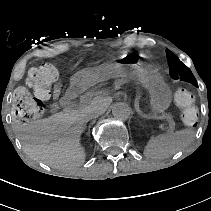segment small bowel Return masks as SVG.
I'll use <instances>...</instances> for the list:
<instances>
[{
    "instance_id": "small-bowel-1",
    "label": "small bowel",
    "mask_w": 211,
    "mask_h": 211,
    "mask_svg": "<svg viewBox=\"0 0 211 211\" xmlns=\"http://www.w3.org/2000/svg\"><path fill=\"white\" fill-rule=\"evenodd\" d=\"M60 92H61V85L58 83L55 85V88L53 90V98L57 99L60 96Z\"/></svg>"
}]
</instances>
